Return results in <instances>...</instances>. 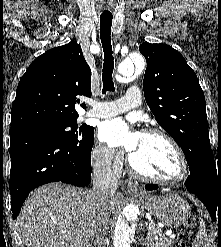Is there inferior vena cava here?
Here are the masks:
<instances>
[{
  "mask_svg": "<svg viewBox=\"0 0 221 247\" xmlns=\"http://www.w3.org/2000/svg\"><path fill=\"white\" fill-rule=\"evenodd\" d=\"M93 188L90 196L94 206L101 212L102 220L95 229L93 245L94 247H106V232L104 224L107 220L106 208L109 199L115 194L118 188V180L111 169V156L105 154L100 162L93 168Z\"/></svg>",
  "mask_w": 221,
  "mask_h": 247,
  "instance_id": "602c4592",
  "label": "inferior vena cava"
}]
</instances>
